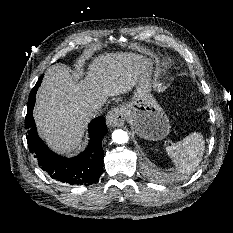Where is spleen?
<instances>
[{"instance_id":"3e777b00","label":"spleen","mask_w":233,"mask_h":233,"mask_svg":"<svg viewBox=\"0 0 233 233\" xmlns=\"http://www.w3.org/2000/svg\"><path fill=\"white\" fill-rule=\"evenodd\" d=\"M205 150L203 136L191 133L182 141L166 147L168 156L173 161L177 173L186 176L195 171L202 160Z\"/></svg>"}]
</instances>
